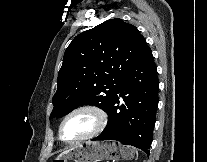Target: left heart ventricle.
<instances>
[{
    "instance_id": "b2bd125f",
    "label": "left heart ventricle",
    "mask_w": 207,
    "mask_h": 162,
    "mask_svg": "<svg viewBox=\"0 0 207 162\" xmlns=\"http://www.w3.org/2000/svg\"><path fill=\"white\" fill-rule=\"evenodd\" d=\"M96 126V117L91 112H81L71 117L64 125L65 140H74L91 132Z\"/></svg>"
}]
</instances>
